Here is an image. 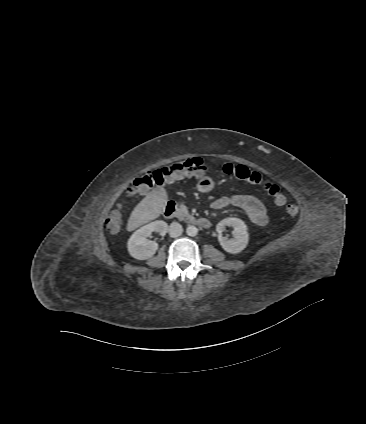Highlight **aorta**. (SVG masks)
Masks as SVG:
<instances>
[{
	"mask_svg": "<svg viewBox=\"0 0 366 424\" xmlns=\"http://www.w3.org/2000/svg\"><path fill=\"white\" fill-rule=\"evenodd\" d=\"M186 233L189 236H196L198 234V229L194 225H188V227L186 228Z\"/></svg>",
	"mask_w": 366,
	"mask_h": 424,
	"instance_id": "762f6f07",
	"label": "aorta"
}]
</instances>
